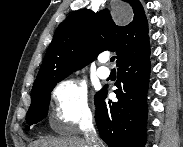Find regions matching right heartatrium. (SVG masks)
<instances>
[{"label":"right heart atrium","mask_w":183,"mask_h":147,"mask_svg":"<svg viewBox=\"0 0 183 147\" xmlns=\"http://www.w3.org/2000/svg\"><path fill=\"white\" fill-rule=\"evenodd\" d=\"M52 117L58 125L81 128L92 117L86 85L77 78H68L52 92Z\"/></svg>","instance_id":"d8ad5b80"}]
</instances>
